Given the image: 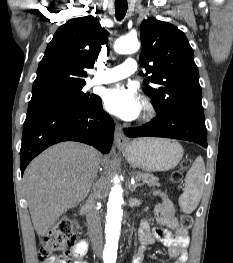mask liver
Segmentation results:
<instances>
[{
    "label": "liver",
    "mask_w": 233,
    "mask_h": 263,
    "mask_svg": "<svg viewBox=\"0 0 233 263\" xmlns=\"http://www.w3.org/2000/svg\"><path fill=\"white\" fill-rule=\"evenodd\" d=\"M101 163L103 158L93 147L62 142L28 165L23 185L39 236L47 235L60 216L87 197Z\"/></svg>",
    "instance_id": "obj_1"
}]
</instances>
